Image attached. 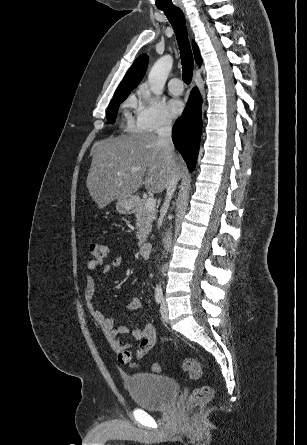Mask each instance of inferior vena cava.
Instances as JSON below:
<instances>
[{
	"label": "inferior vena cava",
	"instance_id": "1",
	"mask_svg": "<svg viewBox=\"0 0 307 445\" xmlns=\"http://www.w3.org/2000/svg\"><path fill=\"white\" fill-rule=\"evenodd\" d=\"M157 132H158V142H160V144H164V146H167L170 152H173L174 146L172 142V124H171V118H169V116H163L157 128ZM167 162H169V164H173L171 158H168ZM178 180H179V174H176L175 170H172L167 184L165 202L161 210H166V208H169L170 200L173 196V192H175ZM158 225L159 227H161L162 220H159Z\"/></svg>",
	"mask_w": 307,
	"mask_h": 445
}]
</instances>
